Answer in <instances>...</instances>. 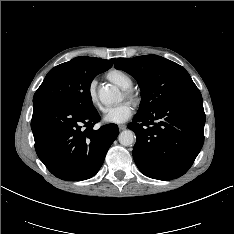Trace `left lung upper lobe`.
Here are the masks:
<instances>
[{"label":"left lung upper lobe","instance_id":"5c2ea615","mask_svg":"<svg viewBox=\"0 0 234 234\" xmlns=\"http://www.w3.org/2000/svg\"><path fill=\"white\" fill-rule=\"evenodd\" d=\"M114 66L132 75L139 84L142 100L136 115L150 113L172 98L197 88L182 66L157 55L117 58Z\"/></svg>","mask_w":234,"mask_h":234}]
</instances>
